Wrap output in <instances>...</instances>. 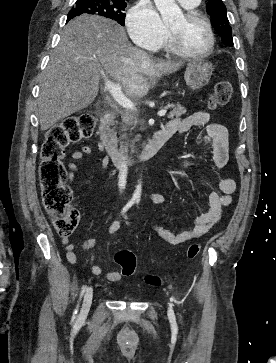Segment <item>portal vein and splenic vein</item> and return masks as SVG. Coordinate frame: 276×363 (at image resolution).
<instances>
[{
	"mask_svg": "<svg viewBox=\"0 0 276 363\" xmlns=\"http://www.w3.org/2000/svg\"><path fill=\"white\" fill-rule=\"evenodd\" d=\"M104 80H105V90H107L112 97L114 98V100L123 108L127 109V110H135V105L133 104V102L128 99L122 92L121 90V85L119 83H114L112 81H110L105 75H104ZM167 113V109H162L158 112V116L162 117Z\"/></svg>",
	"mask_w": 276,
	"mask_h": 363,
	"instance_id": "obj_1",
	"label": "portal vein and splenic vein"
}]
</instances>
